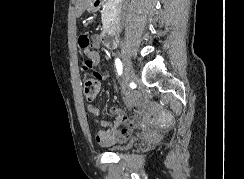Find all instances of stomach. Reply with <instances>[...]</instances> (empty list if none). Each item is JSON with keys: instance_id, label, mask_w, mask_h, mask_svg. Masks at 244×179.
Listing matches in <instances>:
<instances>
[{"instance_id": "0dacf381", "label": "stomach", "mask_w": 244, "mask_h": 179, "mask_svg": "<svg viewBox=\"0 0 244 179\" xmlns=\"http://www.w3.org/2000/svg\"><path fill=\"white\" fill-rule=\"evenodd\" d=\"M88 12H93L94 8L93 6H89V8H87Z\"/></svg>"}]
</instances>
